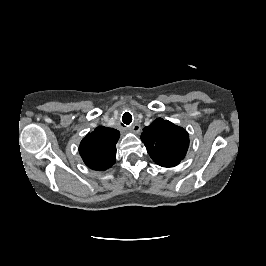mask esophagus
<instances>
[{"label": "esophagus", "mask_w": 266, "mask_h": 266, "mask_svg": "<svg viewBox=\"0 0 266 266\" xmlns=\"http://www.w3.org/2000/svg\"><path fill=\"white\" fill-rule=\"evenodd\" d=\"M130 130L134 133H140L141 126L139 124H134L130 127Z\"/></svg>", "instance_id": "esophagus-1"}]
</instances>
